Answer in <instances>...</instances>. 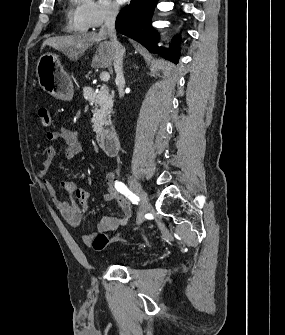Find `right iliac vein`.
I'll return each mask as SVG.
<instances>
[{
	"label": "right iliac vein",
	"instance_id": "right-iliac-vein-1",
	"mask_svg": "<svg viewBox=\"0 0 285 335\" xmlns=\"http://www.w3.org/2000/svg\"><path fill=\"white\" fill-rule=\"evenodd\" d=\"M128 183L132 190L138 195L142 203V212L138 216V223L144 222V215L150 211L151 206L147 194L142 188V185L132 175H128Z\"/></svg>",
	"mask_w": 285,
	"mask_h": 335
}]
</instances>
